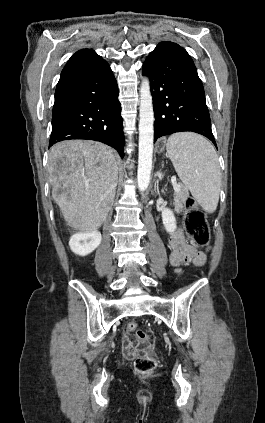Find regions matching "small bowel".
<instances>
[{"label":"small bowel","instance_id":"c3829d8e","mask_svg":"<svg viewBox=\"0 0 265 423\" xmlns=\"http://www.w3.org/2000/svg\"><path fill=\"white\" fill-rule=\"evenodd\" d=\"M169 243L172 248L170 260L178 273L181 272L180 266L184 263L192 262L198 267L206 264V255L186 243L181 230H177L170 236ZM122 350L127 359L133 358L136 353L134 343L127 333L122 336Z\"/></svg>","mask_w":265,"mask_h":423}]
</instances>
